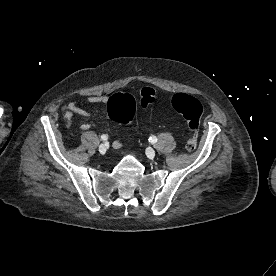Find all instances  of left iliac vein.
Segmentation results:
<instances>
[{"label": "left iliac vein", "instance_id": "1", "mask_svg": "<svg viewBox=\"0 0 276 276\" xmlns=\"http://www.w3.org/2000/svg\"><path fill=\"white\" fill-rule=\"evenodd\" d=\"M146 154L150 159H153L155 157V150L153 148L148 147L146 149Z\"/></svg>", "mask_w": 276, "mask_h": 276}]
</instances>
